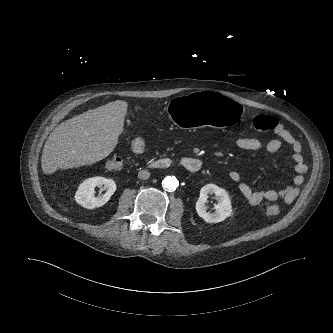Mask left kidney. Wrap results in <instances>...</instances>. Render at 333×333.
Segmentation results:
<instances>
[{
    "instance_id": "5707ae66",
    "label": "left kidney",
    "mask_w": 333,
    "mask_h": 333,
    "mask_svg": "<svg viewBox=\"0 0 333 333\" xmlns=\"http://www.w3.org/2000/svg\"><path fill=\"white\" fill-rule=\"evenodd\" d=\"M215 194L218 200L217 205H215V212H207V207L205 205L208 194ZM196 212L197 214L207 223H218L225 220L232 214V205L228 193L226 190L218 187L215 184H207L203 186L200 190L199 199L196 202Z\"/></svg>"
}]
</instances>
